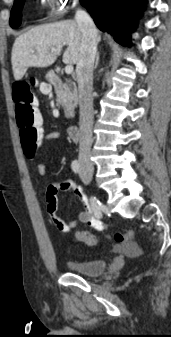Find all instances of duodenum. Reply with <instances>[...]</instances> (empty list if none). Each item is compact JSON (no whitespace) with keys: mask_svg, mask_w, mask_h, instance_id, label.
<instances>
[{"mask_svg":"<svg viewBox=\"0 0 171 337\" xmlns=\"http://www.w3.org/2000/svg\"><path fill=\"white\" fill-rule=\"evenodd\" d=\"M48 77L52 85L59 89L63 83L62 78L56 73V72H49ZM68 135L74 140L79 141L80 140V129L78 125H70L67 129Z\"/></svg>","mask_w":171,"mask_h":337,"instance_id":"1","label":"duodenum"}]
</instances>
